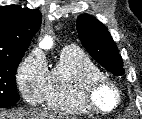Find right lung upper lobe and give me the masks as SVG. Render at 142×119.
I'll return each mask as SVG.
<instances>
[{"label": "right lung upper lobe", "instance_id": "obj_1", "mask_svg": "<svg viewBox=\"0 0 142 119\" xmlns=\"http://www.w3.org/2000/svg\"><path fill=\"white\" fill-rule=\"evenodd\" d=\"M40 25L38 10L17 5L0 7V59L24 55Z\"/></svg>", "mask_w": 142, "mask_h": 119}]
</instances>
